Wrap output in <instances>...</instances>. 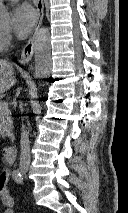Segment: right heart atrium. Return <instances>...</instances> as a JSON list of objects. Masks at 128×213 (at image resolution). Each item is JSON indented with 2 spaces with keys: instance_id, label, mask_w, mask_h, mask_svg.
Masks as SVG:
<instances>
[{
  "instance_id": "obj_1",
  "label": "right heart atrium",
  "mask_w": 128,
  "mask_h": 213,
  "mask_svg": "<svg viewBox=\"0 0 128 213\" xmlns=\"http://www.w3.org/2000/svg\"><path fill=\"white\" fill-rule=\"evenodd\" d=\"M12 44V36L8 32L0 31V52L8 49Z\"/></svg>"
}]
</instances>
